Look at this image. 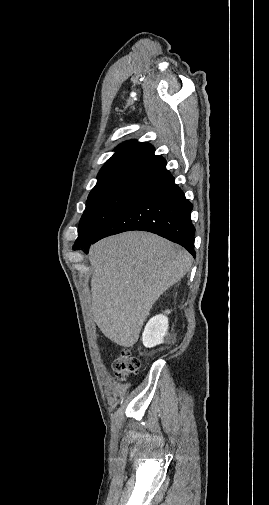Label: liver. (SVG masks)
<instances>
[{
    "mask_svg": "<svg viewBox=\"0 0 269 505\" xmlns=\"http://www.w3.org/2000/svg\"><path fill=\"white\" fill-rule=\"evenodd\" d=\"M89 261L94 320L108 339L132 347L152 306L189 271L192 256L155 234L130 231L94 244Z\"/></svg>",
    "mask_w": 269,
    "mask_h": 505,
    "instance_id": "1",
    "label": "liver"
}]
</instances>
